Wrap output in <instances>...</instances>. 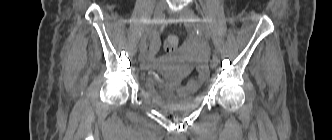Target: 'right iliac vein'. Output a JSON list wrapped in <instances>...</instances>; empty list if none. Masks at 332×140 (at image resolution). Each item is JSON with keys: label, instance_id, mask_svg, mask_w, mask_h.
I'll return each instance as SVG.
<instances>
[{"label": "right iliac vein", "instance_id": "63e3f726", "mask_svg": "<svg viewBox=\"0 0 332 140\" xmlns=\"http://www.w3.org/2000/svg\"><path fill=\"white\" fill-rule=\"evenodd\" d=\"M166 8V1L165 0H159L154 11V20L155 23H157L163 16V12ZM155 32V27L152 26L147 34H144V36L141 38L140 43H139V49H140V54H139V59L142 60L145 55V50H146V45H147V37L152 36Z\"/></svg>", "mask_w": 332, "mask_h": 140}]
</instances>
